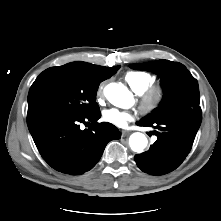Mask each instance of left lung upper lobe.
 <instances>
[{
  "label": "left lung upper lobe",
  "mask_w": 221,
  "mask_h": 221,
  "mask_svg": "<svg viewBox=\"0 0 221 221\" xmlns=\"http://www.w3.org/2000/svg\"><path fill=\"white\" fill-rule=\"evenodd\" d=\"M130 67L157 74L161 78L164 89V97L160 105L142 120L154 121L174 114L193 113L200 110L198 82L183 64L158 60L133 64Z\"/></svg>",
  "instance_id": "1"
}]
</instances>
